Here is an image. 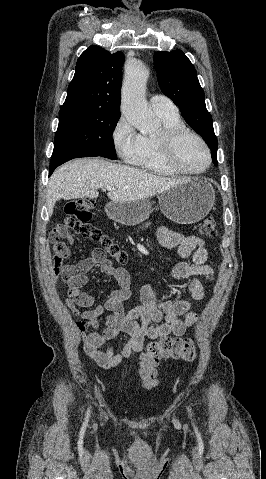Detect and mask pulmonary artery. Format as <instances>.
<instances>
[{
  "label": "pulmonary artery",
  "instance_id": "pulmonary-artery-1",
  "mask_svg": "<svg viewBox=\"0 0 266 479\" xmlns=\"http://www.w3.org/2000/svg\"><path fill=\"white\" fill-rule=\"evenodd\" d=\"M150 105L156 114L177 115L178 108L166 96L156 94L150 98Z\"/></svg>",
  "mask_w": 266,
  "mask_h": 479
}]
</instances>
